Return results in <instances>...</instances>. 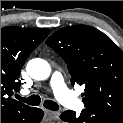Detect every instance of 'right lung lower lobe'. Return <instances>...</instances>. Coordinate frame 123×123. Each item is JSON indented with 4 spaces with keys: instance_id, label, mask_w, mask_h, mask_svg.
Returning a JSON list of instances; mask_svg holds the SVG:
<instances>
[{
    "instance_id": "98d812e1",
    "label": "right lung lower lobe",
    "mask_w": 123,
    "mask_h": 123,
    "mask_svg": "<svg viewBox=\"0 0 123 123\" xmlns=\"http://www.w3.org/2000/svg\"><path fill=\"white\" fill-rule=\"evenodd\" d=\"M43 111L39 108H25L14 111L9 116L1 119V123H40Z\"/></svg>"
}]
</instances>
